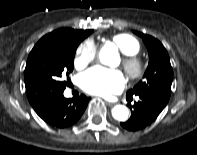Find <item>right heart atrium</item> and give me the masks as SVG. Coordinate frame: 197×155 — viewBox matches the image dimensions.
<instances>
[{"label":"right heart atrium","mask_w":197,"mask_h":155,"mask_svg":"<svg viewBox=\"0 0 197 155\" xmlns=\"http://www.w3.org/2000/svg\"><path fill=\"white\" fill-rule=\"evenodd\" d=\"M97 49L93 42L86 41L82 43L77 51L74 64L77 68H84L90 64L96 57Z\"/></svg>","instance_id":"obj_1"}]
</instances>
